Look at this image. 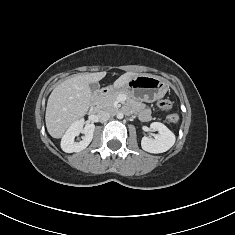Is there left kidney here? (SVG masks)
<instances>
[{
	"label": "left kidney",
	"mask_w": 235,
	"mask_h": 235,
	"mask_svg": "<svg viewBox=\"0 0 235 235\" xmlns=\"http://www.w3.org/2000/svg\"><path fill=\"white\" fill-rule=\"evenodd\" d=\"M153 131H158L154 139L143 137L142 149L149 153H163L169 150L175 143V135L162 123L153 122L150 124Z\"/></svg>",
	"instance_id": "1"
}]
</instances>
